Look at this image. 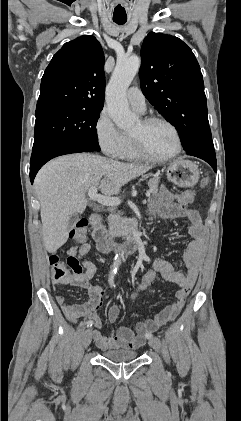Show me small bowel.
<instances>
[{
  "label": "small bowel",
  "instance_id": "obj_1",
  "mask_svg": "<svg viewBox=\"0 0 241 421\" xmlns=\"http://www.w3.org/2000/svg\"><path fill=\"white\" fill-rule=\"evenodd\" d=\"M149 213L165 219L183 218L187 220V234L190 241L182 255V263L186 271H181L173 262L160 257L151 260L154 269L161 277L178 285L179 289L176 292V300L172 304L168 305L153 319L138 322L135 331L124 326L113 328L120 313L119 306L113 304L109 307L107 313L108 322L111 326L110 334L109 336L101 334L102 321L97 314V310L102 303L105 292L99 285L91 283V279L96 273V266L86 258L90 251V245L84 243L79 247L70 248L67 252L68 256L78 257L82 261L84 271L73 275L67 281L59 282V284L77 285L88 293L89 299L79 304H68L65 296L58 294L56 300L70 322L76 323L83 316H87L89 320L93 321L95 325L92 332L93 339L101 350L137 349L143 346L147 336L152 331L177 317L197 280L206 243V229L199 212L185 208L175 201L174 195L167 188H162L150 200Z\"/></svg>",
  "mask_w": 241,
  "mask_h": 421
}]
</instances>
